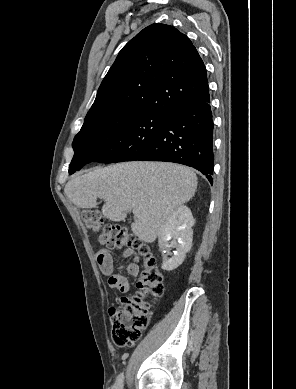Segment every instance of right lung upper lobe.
<instances>
[{
	"instance_id": "right-lung-upper-lobe-1",
	"label": "right lung upper lobe",
	"mask_w": 296,
	"mask_h": 389,
	"mask_svg": "<svg viewBox=\"0 0 296 389\" xmlns=\"http://www.w3.org/2000/svg\"><path fill=\"white\" fill-rule=\"evenodd\" d=\"M209 98L206 68L190 39L152 24L119 52L85 119L117 109L170 116Z\"/></svg>"
}]
</instances>
